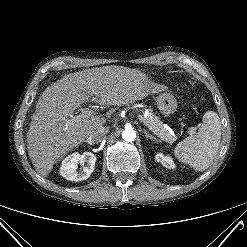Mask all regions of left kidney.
Returning <instances> with one entry per match:
<instances>
[{"mask_svg": "<svg viewBox=\"0 0 247 247\" xmlns=\"http://www.w3.org/2000/svg\"><path fill=\"white\" fill-rule=\"evenodd\" d=\"M156 160L160 162L164 167L174 169L175 164L170 157L164 156L162 153L156 155Z\"/></svg>", "mask_w": 247, "mask_h": 247, "instance_id": "left-kidney-1", "label": "left kidney"}]
</instances>
